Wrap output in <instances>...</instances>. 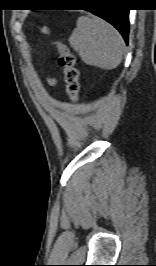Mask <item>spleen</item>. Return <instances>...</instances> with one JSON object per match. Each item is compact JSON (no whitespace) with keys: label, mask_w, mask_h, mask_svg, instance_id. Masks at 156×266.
I'll list each match as a JSON object with an SVG mask.
<instances>
[{"label":"spleen","mask_w":156,"mask_h":266,"mask_svg":"<svg viewBox=\"0 0 156 266\" xmlns=\"http://www.w3.org/2000/svg\"><path fill=\"white\" fill-rule=\"evenodd\" d=\"M70 46L90 66L112 70L123 57V39L119 32L99 17L81 16L69 38Z\"/></svg>","instance_id":"3e777b00"}]
</instances>
